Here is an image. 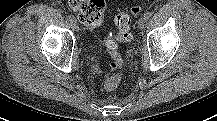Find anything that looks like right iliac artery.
<instances>
[{
	"label": "right iliac artery",
	"mask_w": 217,
	"mask_h": 121,
	"mask_svg": "<svg viewBox=\"0 0 217 121\" xmlns=\"http://www.w3.org/2000/svg\"><path fill=\"white\" fill-rule=\"evenodd\" d=\"M67 18L70 22L75 20V17L73 15H68Z\"/></svg>",
	"instance_id": "obj_1"
}]
</instances>
